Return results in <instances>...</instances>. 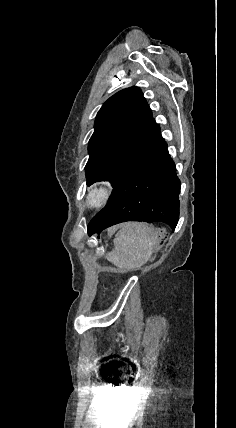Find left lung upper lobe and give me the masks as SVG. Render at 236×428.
Here are the masks:
<instances>
[{
    "mask_svg": "<svg viewBox=\"0 0 236 428\" xmlns=\"http://www.w3.org/2000/svg\"><path fill=\"white\" fill-rule=\"evenodd\" d=\"M156 125L138 87L123 89L110 97L96 116L89 141L87 184L108 180L115 187Z\"/></svg>",
    "mask_w": 236,
    "mask_h": 428,
    "instance_id": "obj_1",
    "label": "left lung upper lobe"
}]
</instances>
